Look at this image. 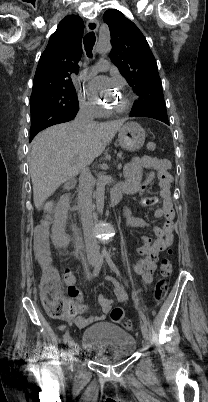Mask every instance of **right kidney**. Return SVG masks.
<instances>
[{"mask_svg": "<svg viewBox=\"0 0 208 402\" xmlns=\"http://www.w3.org/2000/svg\"><path fill=\"white\" fill-rule=\"evenodd\" d=\"M69 200L68 194H64L54 210L51 240L55 248H66L70 242L68 234H65L66 220L70 210Z\"/></svg>", "mask_w": 208, "mask_h": 402, "instance_id": "1", "label": "right kidney"}]
</instances>
